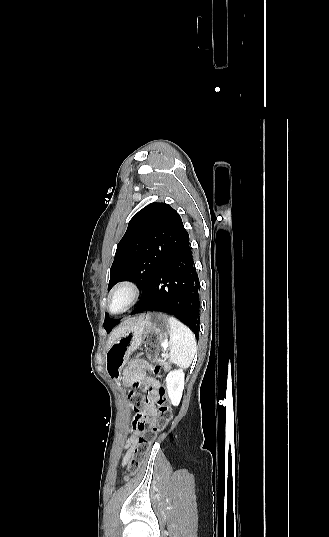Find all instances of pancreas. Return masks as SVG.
<instances>
[{
    "mask_svg": "<svg viewBox=\"0 0 329 537\" xmlns=\"http://www.w3.org/2000/svg\"><path fill=\"white\" fill-rule=\"evenodd\" d=\"M164 358L165 359H160L159 361L161 362L162 365H164L165 369H169L170 368L169 362L166 361L167 356H164Z\"/></svg>",
    "mask_w": 329,
    "mask_h": 537,
    "instance_id": "pancreas-1",
    "label": "pancreas"
}]
</instances>
